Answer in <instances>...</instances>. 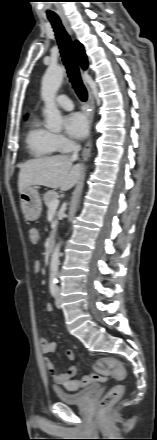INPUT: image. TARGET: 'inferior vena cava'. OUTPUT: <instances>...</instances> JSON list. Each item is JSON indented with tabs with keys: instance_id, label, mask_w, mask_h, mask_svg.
Listing matches in <instances>:
<instances>
[{
	"instance_id": "inferior-vena-cava-1",
	"label": "inferior vena cava",
	"mask_w": 157,
	"mask_h": 440,
	"mask_svg": "<svg viewBox=\"0 0 157 440\" xmlns=\"http://www.w3.org/2000/svg\"><path fill=\"white\" fill-rule=\"evenodd\" d=\"M80 150V145L74 146V153L72 155V160H76L78 158V152Z\"/></svg>"
}]
</instances>
